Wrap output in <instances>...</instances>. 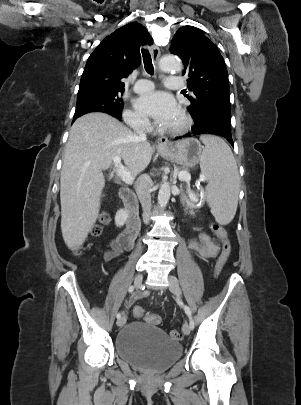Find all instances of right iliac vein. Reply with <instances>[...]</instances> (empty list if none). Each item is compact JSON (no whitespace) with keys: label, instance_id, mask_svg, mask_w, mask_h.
Masks as SVG:
<instances>
[{"label":"right iliac vein","instance_id":"63e3f726","mask_svg":"<svg viewBox=\"0 0 301 405\" xmlns=\"http://www.w3.org/2000/svg\"><path fill=\"white\" fill-rule=\"evenodd\" d=\"M143 281V275L142 274H138L135 278H134V285L136 288H139L142 284ZM126 323V316H122L121 318H119L117 320V325L118 326H123Z\"/></svg>","mask_w":301,"mask_h":405}]
</instances>
